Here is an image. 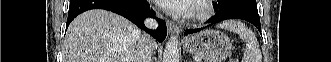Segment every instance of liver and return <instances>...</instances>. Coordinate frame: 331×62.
I'll return each instance as SVG.
<instances>
[{
    "instance_id": "obj_1",
    "label": "liver",
    "mask_w": 331,
    "mask_h": 62,
    "mask_svg": "<svg viewBox=\"0 0 331 62\" xmlns=\"http://www.w3.org/2000/svg\"><path fill=\"white\" fill-rule=\"evenodd\" d=\"M141 31L127 19L106 10H89L70 24L63 62H134ZM152 43V49H156Z\"/></svg>"
}]
</instances>
